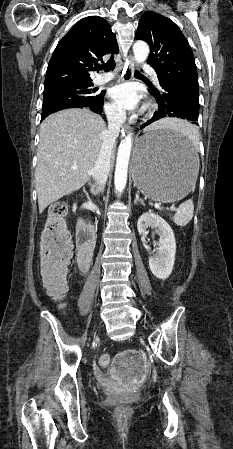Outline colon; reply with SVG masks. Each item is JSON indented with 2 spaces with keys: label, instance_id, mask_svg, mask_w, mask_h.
Listing matches in <instances>:
<instances>
[{
  "label": "colon",
  "instance_id": "5ec220e1",
  "mask_svg": "<svg viewBox=\"0 0 233 449\" xmlns=\"http://www.w3.org/2000/svg\"><path fill=\"white\" fill-rule=\"evenodd\" d=\"M67 205L62 201L49 207L48 217L40 238V275L47 291L56 299L67 293V273L71 260V238L65 216ZM119 414L126 409L120 407Z\"/></svg>",
  "mask_w": 233,
  "mask_h": 449
}]
</instances>
